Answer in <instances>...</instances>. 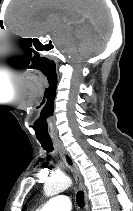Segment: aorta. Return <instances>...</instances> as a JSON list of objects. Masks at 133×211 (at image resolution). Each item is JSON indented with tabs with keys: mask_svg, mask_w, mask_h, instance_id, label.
I'll return each mask as SVG.
<instances>
[{
	"mask_svg": "<svg viewBox=\"0 0 133 211\" xmlns=\"http://www.w3.org/2000/svg\"><path fill=\"white\" fill-rule=\"evenodd\" d=\"M72 185L69 177L64 175L52 176L44 184V194L46 196H54Z\"/></svg>",
	"mask_w": 133,
	"mask_h": 211,
	"instance_id": "obj_1",
	"label": "aorta"
}]
</instances>
